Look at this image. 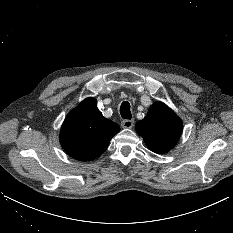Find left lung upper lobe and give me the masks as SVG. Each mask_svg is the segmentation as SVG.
<instances>
[{
    "label": "left lung upper lobe",
    "mask_w": 233,
    "mask_h": 233,
    "mask_svg": "<svg viewBox=\"0 0 233 233\" xmlns=\"http://www.w3.org/2000/svg\"><path fill=\"white\" fill-rule=\"evenodd\" d=\"M135 128L151 151L162 154L176 145L183 125L173 110L162 102H156Z\"/></svg>",
    "instance_id": "1"
}]
</instances>
